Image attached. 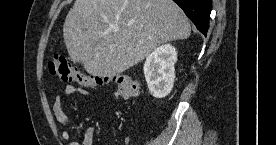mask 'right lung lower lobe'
<instances>
[{
    "instance_id": "1",
    "label": "right lung lower lobe",
    "mask_w": 276,
    "mask_h": 145,
    "mask_svg": "<svg viewBox=\"0 0 276 145\" xmlns=\"http://www.w3.org/2000/svg\"><path fill=\"white\" fill-rule=\"evenodd\" d=\"M205 36L209 28L211 0H173Z\"/></svg>"
}]
</instances>
